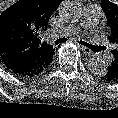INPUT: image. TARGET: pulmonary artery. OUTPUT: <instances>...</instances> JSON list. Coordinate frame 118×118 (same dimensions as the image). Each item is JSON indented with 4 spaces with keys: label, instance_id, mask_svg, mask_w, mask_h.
Here are the masks:
<instances>
[{
    "label": "pulmonary artery",
    "instance_id": "1",
    "mask_svg": "<svg viewBox=\"0 0 118 118\" xmlns=\"http://www.w3.org/2000/svg\"><path fill=\"white\" fill-rule=\"evenodd\" d=\"M101 15L100 7L96 4H90L84 10L80 26H69L66 28V32L69 34H76L80 27L83 29H93L99 23ZM110 58H112V56H110Z\"/></svg>",
    "mask_w": 118,
    "mask_h": 118
}]
</instances>
